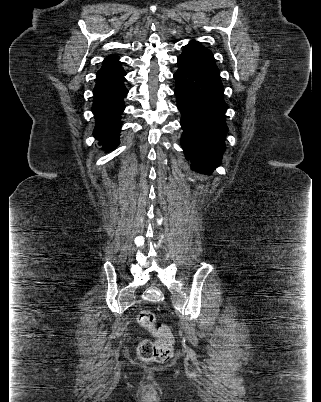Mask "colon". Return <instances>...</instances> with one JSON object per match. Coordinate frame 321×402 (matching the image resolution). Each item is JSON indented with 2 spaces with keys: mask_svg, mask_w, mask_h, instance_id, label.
I'll list each match as a JSON object with an SVG mask.
<instances>
[{
  "mask_svg": "<svg viewBox=\"0 0 321 402\" xmlns=\"http://www.w3.org/2000/svg\"><path fill=\"white\" fill-rule=\"evenodd\" d=\"M138 325L157 337L155 341L145 339L137 349L138 357L144 362H165L172 357L174 340L166 326L160 325L156 315L148 310L137 315Z\"/></svg>",
  "mask_w": 321,
  "mask_h": 402,
  "instance_id": "1",
  "label": "colon"
}]
</instances>
